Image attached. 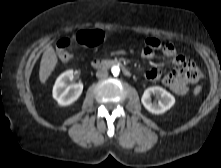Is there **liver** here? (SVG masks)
I'll use <instances>...</instances> for the list:
<instances>
[{"label":"liver","instance_id":"6515ba94","mask_svg":"<svg viewBox=\"0 0 221 168\" xmlns=\"http://www.w3.org/2000/svg\"><path fill=\"white\" fill-rule=\"evenodd\" d=\"M58 63L57 55L52 46L48 47L40 62L39 79L42 84H45L51 73L54 71Z\"/></svg>","mask_w":221,"mask_h":168}]
</instances>
